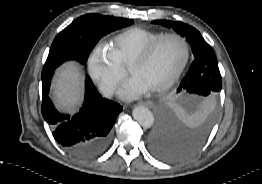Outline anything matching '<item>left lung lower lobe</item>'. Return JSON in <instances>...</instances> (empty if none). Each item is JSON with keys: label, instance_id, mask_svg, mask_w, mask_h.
<instances>
[{"label": "left lung lower lobe", "instance_id": "1", "mask_svg": "<svg viewBox=\"0 0 262 184\" xmlns=\"http://www.w3.org/2000/svg\"><path fill=\"white\" fill-rule=\"evenodd\" d=\"M194 64L195 66H204V69H211L210 72L220 75L215 54L199 57L194 61ZM207 136L208 128L190 136L179 135L168 121L160 116L149 137V149L154 156L163 161H181L198 152Z\"/></svg>", "mask_w": 262, "mask_h": 184}]
</instances>
